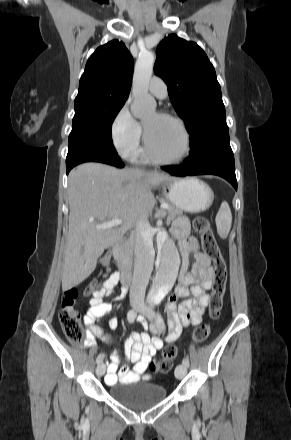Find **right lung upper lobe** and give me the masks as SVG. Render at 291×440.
Wrapping results in <instances>:
<instances>
[{"label":"right lung upper lobe","instance_id":"right-lung-upper-lobe-1","mask_svg":"<svg viewBox=\"0 0 291 440\" xmlns=\"http://www.w3.org/2000/svg\"><path fill=\"white\" fill-rule=\"evenodd\" d=\"M133 76V58L117 40L100 46L90 56L80 79L75 103L126 101Z\"/></svg>","mask_w":291,"mask_h":440}]
</instances>
